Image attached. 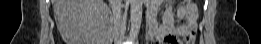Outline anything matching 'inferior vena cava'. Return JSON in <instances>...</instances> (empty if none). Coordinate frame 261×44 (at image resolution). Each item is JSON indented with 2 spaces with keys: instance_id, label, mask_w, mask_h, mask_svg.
<instances>
[{
  "instance_id": "inferior-vena-cava-1",
  "label": "inferior vena cava",
  "mask_w": 261,
  "mask_h": 44,
  "mask_svg": "<svg viewBox=\"0 0 261 44\" xmlns=\"http://www.w3.org/2000/svg\"><path fill=\"white\" fill-rule=\"evenodd\" d=\"M120 2L121 0H116ZM121 16V8L119 6L113 8V20L116 24H118ZM119 33L123 35V26L119 25Z\"/></svg>"
}]
</instances>
